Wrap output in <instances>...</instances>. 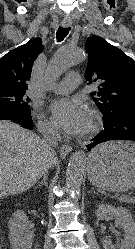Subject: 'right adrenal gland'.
Instances as JSON below:
<instances>
[{
    "instance_id": "right-adrenal-gland-1",
    "label": "right adrenal gland",
    "mask_w": 135,
    "mask_h": 249,
    "mask_svg": "<svg viewBox=\"0 0 135 249\" xmlns=\"http://www.w3.org/2000/svg\"><path fill=\"white\" fill-rule=\"evenodd\" d=\"M47 179H48V176H47V173H45L43 176V180L41 182H39V184L45 185L46 187H48Z\"/></svg>"
}]
</instances>
